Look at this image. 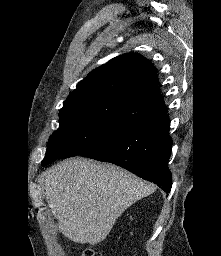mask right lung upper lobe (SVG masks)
Segmentation results:
<instances>
[{
    "label": "right lung upper lobe",
    "mask_w": 221,
    "mask_h": 256,
    "mask_svg": "<svg viewBox=\"0 0 221 256\" xmlns=\"http://www.w3.org/2000/svg\"><path fill=\"white\" fill-rule=\"evenodd\" d=\"M100 106L144 115V121L167 112L154 66L136 53L120 55L90 72L70 93L60 112Z\"/></svg>",
    "instance_id": "cb5924a9"
}]
</instances>
